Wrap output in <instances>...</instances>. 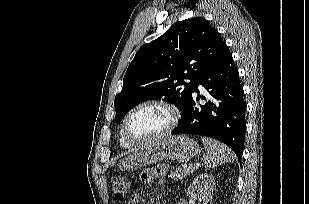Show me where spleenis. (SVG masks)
Masks as SVG:
<instances>
[{
	"label": "spleen",
	"mask_w": 309,
	"mask_h": 204,
	"mask_svg": "<svg viewBox=\"0 0 309 204\" xmlns=\"http://www.w3.org/2000/svg\"><path fill=\"white\" fill-rule=\"evenodd\" d=\"M201 140L206 150L204 156L206 168L210 169L235 161L236 156L226 145L207 137H201Z\"/></svg>",
	"instance_id": "obj_1"
}]
</instances>
